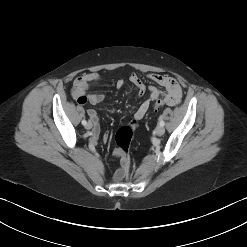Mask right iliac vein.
<instances>
[{
	"instance_id": "63e3f726",
	"label": "right iliac vein",
	"mask_w": 247,
	"mask_h": 247,
	"mask_svg": "<svg viewBox=\"0 0 247 247\" xmlns=\"http://www.w3.org/2000/svg\"><path fill=\"white\" fill-rule=\"evenodd\" d=\"M93 127V124L91 122H88L86 125H85V128L87 130H90L91 128Z\"/></svg>"
}]
</instances>
